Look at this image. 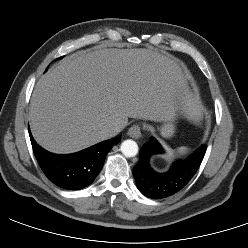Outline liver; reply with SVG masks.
Listing matches in <instances>:
<instances>
[{
  "mask_svg": "<svg viewBox=\"0 0 248 248\" xmlns=\"http://www.w3.org/2000/svg\"><path fill=\"white\" fill-rule=\"evenodd\" d=\"M177 65L148 49L72 54L37 82L29 108L36 142L54 153L76 152L110 138L129 118L163 121L183 100Z\"/></svg>",
  "mask_w": 248,
  "mask_h": 248,
  "instance_id": "liver-1",
  "label": "liver"
}]
</instances>
